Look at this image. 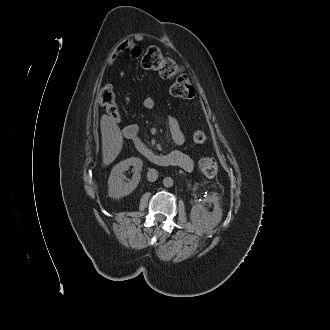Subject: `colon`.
<instances>
[{"mask_svg":"<svg viewBox=\"0 0 330 330\" xmlns=\"http://www.w3.org/2000/svg\"><path fill=\"white\" fill-rule=\"evenodd\" d=\"M141 65L146 70L156 72L163 79H174L170 88L173 96L189 99L195 95L190 76L183 73V68L178 63L165 57L159 47L149 46L141 57ZM98 98L108 115L118 119L120 114L112 86L101 88ZM192 140L194 143L203 144L207 137L204 132L195 131ZM199 169L206 177H213L217 173L218 165L213 158L204 157L199 161Z\"/></svg>","mask_w":330,"mask_h":330,"instance_id":"5ec220e1","label":"colon"}]
</instances>
